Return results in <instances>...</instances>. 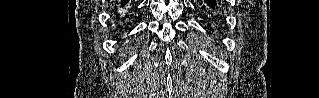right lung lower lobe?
<instances>
[{
    "mask_svg": "<svg viewBox=\"0 0 319 98\" xmlns=\"http://www.w3.org/2000/svg\"><path fill=\"white\" fill-rule=\"evenodd\" d=\"M127 3V1L125 0V1H122V6H124L125 4Z\"/></svg>",
    "mask_w": 319,
    "mask_h": 98,
    "instance_id": "98d812e1",
    "label": "right lung lower lobe"
}]
</instances>
